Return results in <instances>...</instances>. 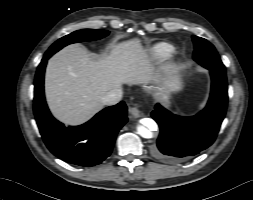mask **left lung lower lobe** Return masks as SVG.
<instances>
[{
    "label": "left lung lower lobe",
    "instance_id": "left-lung-lower-lobe-1",
    "mask_svg": "<svg viewBox=\"0 0 253 200\" xmlns=\"http://www.w3.org/2000/svg\"><path fill=\"white\" fill-rule=\"evenodd\" d=\"M211 93L207 106L197 115L182 117L156 104L151 113L160 134L152 155L167 163H178L208 148L218 134L227 108L226 73L210 70Z\"/></svg>",
    "mask_w": 253,
    "mask_h": 200
}]
</instances>
